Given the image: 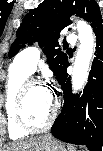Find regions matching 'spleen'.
<instances>
[{
    "instance_id": "3e777b00",
    "label": "spleen",
    "mask_w": 103,
    "mask_h": 151,
    "mask_svg": "<svg viewBox=\"0 0 103 151\" xmlns=\"http://www.w3.org/2000/svg\"><path fill=\"white\" fill-rule=\"evenodd\" d=\"M68 151H76V149L73 146L69 145L68 146Z\"/></svg>"
}]
</instances>
